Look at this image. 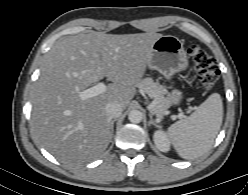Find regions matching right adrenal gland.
Masks as SVG:
<instances>
[{"mask_svg":"<svg viewBox=\"0 0 248 195\" xmlns=\"http://www.w3.org/2000/svg\"><path fill=\"white\" fill-rule=\"evenodd\" d=\"M116 121V119L112 120L111 121V131H112V135H113V132H114V122Z\"/></svg>","mask_w":248,"mask_h":195,"instance_id":"2a0ac1e0","label":"right adrenal gland"}]
</instances>
